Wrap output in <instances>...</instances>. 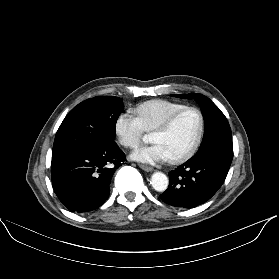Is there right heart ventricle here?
Here are the masks:
<instances>
[{"mask_svg":"<svg viewBox=\"0 0 279 279\" xmlns=\"http://www.w3.org/2000/svg\"><path fill=\"white\" fill-rule=\"evenodd\" d=\"M185 105L163 100L154 99L137 105L134 109L145 131H153L158 127L171 113L184 107Z\"/></svg>","mask_w":279,"mask_h":279,"instance_id":"right-heart-ventricle-1","label":"right heart ventricle"}]
</instances>
